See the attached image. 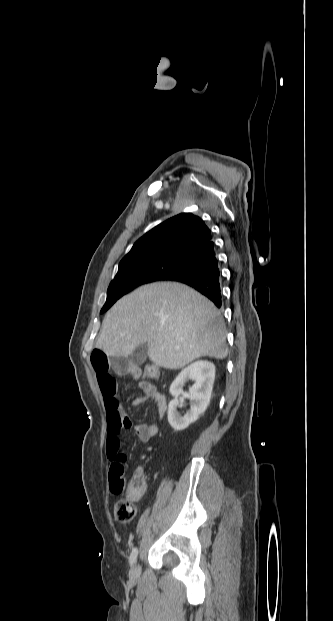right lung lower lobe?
<instances>
[{
  "instance_id": "obj_1",
  "label": "right lung lower lobe",
  "mask_w": 333,
  "mask_h": 621,
  "mask_svg": "<svg viewBox=\"0 0 333 621\" xmlns=\"http://www.w3.org/2000/svg\"><path fill=\"white\" fill-rule=\"evenodd\" d=\"M163 280L187 284L210 299L216 307L220 308L222 305L221 272L213 241L186 257Z\"/></svg>"
}]
</instances>
